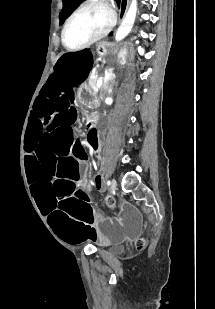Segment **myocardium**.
Masks as SVG:
<instances>
[{
    "mask_svg": "<svg viewBox=\"0 0 215 309\" xmlns=\"http://www.w3.org/2000/svg\"><path fill=\"white\" fill-rule=\"evenodd\" d=\"M88 10H99L103 13L108 12V15H106L107 23H102L101 27H95L94 31L92 33L93 38L89 39L88 41L78 45V46H69L66 42V33L70 26V24L73 22V20L81 13L88 11ZM115 12H113V9H108L106 5L103 4H88L81 6L77 10H75L70 17L66 20L62 31H61V42L64 48H89L93 43L98 41L100 38H106L107 34H110L112 32L113 26L115 25Z\"/></svg>",
    "mask_w": 215,
    "mask_h": 309,
    "instance_id": "obj_1",
    "label": "myocardium"
}]
</instances>
